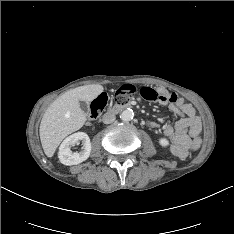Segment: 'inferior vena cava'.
Here are the masks:
<instances>
[{"instance_id":"inferior-vena-cava-1","label":"inferior vena cava","mask_w":234,"mask_h":234,"mask_svg":"<svg viewBox=\"0 0 234 234\" xmlns=\"http://www.w3.org/2000/svg\"><path fill=\"white\" fill-rule=\"evenodd\" d=\"M115 119H116L115 114H113L111 112H107V113H105L103 115V119L102 120H103V122L105 124H110V123L114 122Z\"/></svg>"}]
</instances>
